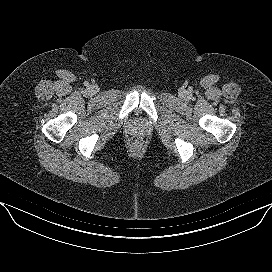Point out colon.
Segmentation results:
<instances>
[{"label":"colon","mask_w":272,"mask_h":272,"mask_svg":"<svg viewBox=\"0 0 272 272\" xmlns=\"http://www.w3.org/2000/svg\"><path fill=\"white\" fill-rule=\"evenodd\" d=\"M140 143H141V141H140L139 139H135V140H134V144H135V145H139Z\"/></svg>","instance_id":"obj_1"}]
</instances>
